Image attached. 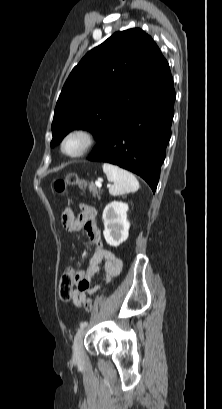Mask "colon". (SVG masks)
<instances>
[{
  "instance_id": "1",
  "label": "colon",
  "mask_w": 222,
  "mask_h": 409,
  "mask_svg": "<svg viewBox=\"0 0 222 409\" xmlns=\"http://www.w3.org/2000/svg\"><path fill=\"white\" fill-rule=\"evenodd\" d=\"M77 186L79 188H84L86 186L85 181L79 179L76 175L70 174L65 179L57 180L54 183V189L59 195H64L67 192L68 187ZM76 267L70 266L64 272L59 285V296L63 301H68L71 299L74 284L72 283L73 278L71 277L72 271ZM78 269V268H77ZM87 313L92 310V301L88 298L87 302L84 304Z\"/></svg>"
}]
</instances>
